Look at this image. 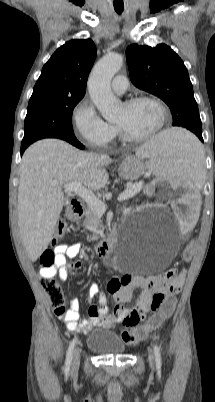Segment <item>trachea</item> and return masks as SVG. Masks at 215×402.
<instances>
[{"label":"trachea","instance_id":"1","mask_svg":"<svg viewBox=\"0 0 215 402\" xmlns=\"http://www.w3.org/2000/svg\"><path fill=\"white\" fill-rule=\"evenodd\" d=\"M118 14H121L123 9H115Z\"/></svg>","mask_w":215,"mask_h":402}]
</instances>
